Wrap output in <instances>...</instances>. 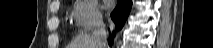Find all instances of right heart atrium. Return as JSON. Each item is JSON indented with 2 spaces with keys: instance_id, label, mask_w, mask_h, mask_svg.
<instances>
[{
  "instance_id": "obj_1",
  "label": "right heart atrium",
  "mask_w": 213,
  "mask_h": 48,
  "mask_svg": "<svg viewBox=\"0 0 213 48\" xmlns=\"http://www.w3.org/2000/svg\"><path fill=\"white\" fill-rule=\"evenodd\" d=\"M72 17L76 26L82 32L98 26L102 21L99 4L95 0H77L74 2Z\"/></svg>"
}]
</instances>
